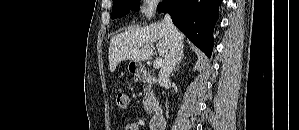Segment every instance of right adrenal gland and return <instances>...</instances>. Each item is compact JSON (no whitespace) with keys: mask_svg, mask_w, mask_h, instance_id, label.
Here are the masks:
<instances>
[{"mask_svg":"<svg viewBox=\"0 0 299 130\" xmlns=\"http://www.w3.org/2000/svg\"><path fill=\"white\" fill-rule=\"evenodd\" d=\"M182 58L178 61L176 67L174 68V72H176L180 68V63H181Z\"/></svg>","mask_w":299,"mask_h":130,"instance_id":"obj_1","label":"right adrenal gland"}]
</instances>
